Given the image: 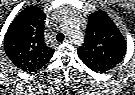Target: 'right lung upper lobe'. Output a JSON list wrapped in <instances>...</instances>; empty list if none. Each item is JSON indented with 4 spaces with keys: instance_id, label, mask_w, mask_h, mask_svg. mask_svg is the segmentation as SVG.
<instances>
[{
    "instance_id": "1",
    "label": "right lung upper lobe",
    "mask_w": 135,
    "mask_h": 95,
    "mask_svg": "<svg viewBox=\"0 0 135 95\" xmlns=\"http://www.w3.org/2000/svg\"><path fill=\"white\" fill-rule=\"evenodd\" d=\"M45 14L36 7L22 10L10 24L4 50L11 62L26 72H36L51 59L54 49L44 42Z\"/></svg>"
}]
</instances>
